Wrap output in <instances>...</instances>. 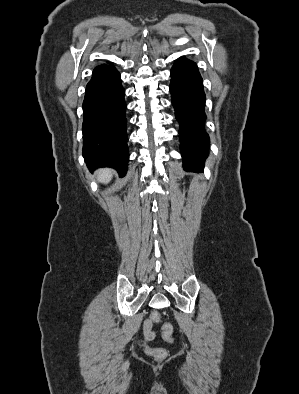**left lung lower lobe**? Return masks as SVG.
<instances>
[{"instance_id": "0a47b994", "label": "left lung lower lobe", "mask_w": 299, "mask_h": 394, "mask_svg": "<svg viewBox=\"0 0 299 394\" xmlns=\"http://www.w3.org/2000/svg\"><path fill=\"white\" fill-rule=\"evenodd\" d=\"M171 101L180 123V149L187 171L203 169L208 156L209 137L205 132L206 115L203 81L196 63L180 57L171 69Z\"/></svg>"}]
</instances>
